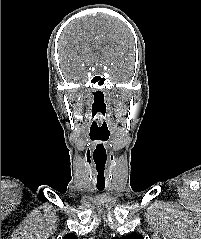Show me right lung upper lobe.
Listing matches in <instances>:
<instances>
[{
	"label": "right lung upper lobe",
	"mask_w": 201,
	"mask_h": 239,
	"mask_svg": "<svg viewBox=\"0 0 201 239\" xmlns=\"http://www.w3.org/2000/svg\"><path fill=\"white\" fill-rule=\"evenodd\" d=\"M63 239H77V237L75 236V234H66Z\"/></svg>",
	"instance_id": "right-lung-upper-lobe-1"
}]
</instances>
